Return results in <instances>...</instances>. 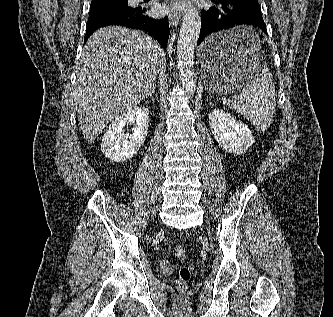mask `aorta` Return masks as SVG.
<instances>
[{
    "label": "aorta",
    "mask_w": 333,
    "mask_h": 317,
    "mask_svg": "<svg viewBox=\"0 0 333 317\" xmlns=\"http://www.w3.org/2000/svg\"><path fill=\"white\" fill-rule=\"evenodd\" d=\"M201 16L195 7L186 10L177 44V64L182 86L187 95L192 96L196 89L194 51L199 38Z\"/></svg>",
    "instance_id": "aorta-1"
}]
</instances>
